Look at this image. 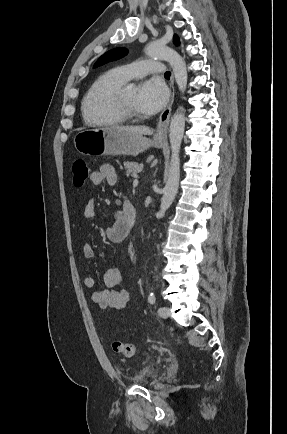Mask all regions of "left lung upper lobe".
Here are the masks:
<instances>
[{"label": "left lung upper lobe", "instance_id": "1", "mask_svg": "<svg viewBox=\"0 0 287 434\" xmlns=\"http://www.w3.org/2000/svg\"><path fill=\"white\" fill-rule=\"evenodd\" d=\"M174 43L176 45L179 44V38L175 35L174 36ZM127 54V49L125 48H115L112 49L108 52H106L105 54H103L94 64V67H98L100 65H103L107 62L113 61V60H117L123 56H125Z\"/></svg>", "mask_w": 287, "mask_h": 434}]
</instances>
